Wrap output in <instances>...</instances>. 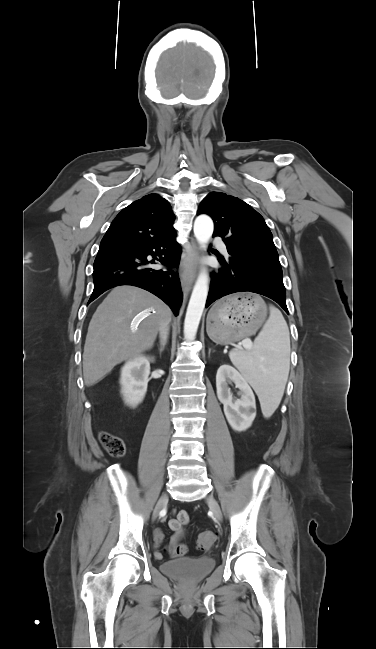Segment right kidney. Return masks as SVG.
I'll list each match as a JSON object with an SVG mask.
<instances>
[{"label": "right kidney", "instance_id": "obj_1", "mask_svg": "<svg viewBox=\"0 0 376 649\" xmlns=\"http://www.w3.org/2000/svg\"><path fill=\"white\" fill-rule=\"evenodd\" d=\"M150 361V358L139 355L127 361L121 369V394L125 403L130 407H136L145 397L150 374Z\"/></svg>", "mask_w": 376, "mask_h": 649}]
</instances>
